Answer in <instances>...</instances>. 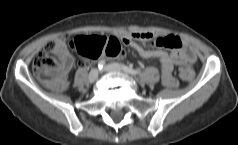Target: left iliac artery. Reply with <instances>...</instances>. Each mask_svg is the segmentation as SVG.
<instances>
[{
  "label": "left iliac artery",
  "mask_w": 238,
  "mask_h": 145,
  "mask_svg": "<svg viewBox=\"0 0 238 145\" xmlns=\"http://www.w3.org/2000/svg\"><path fill=\"white\" fill-rule=\"evenodd\" d=\"M122 69H123L125 72H127V73H129V74H131V75H134V76L139 75V74H141V72H142L141 69H134V68L129 67V66H126V65H122Z\"/></svg>",
  "instance_id": "obj_1"
}]
</instances>
